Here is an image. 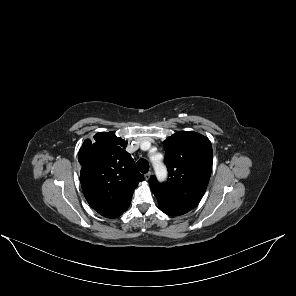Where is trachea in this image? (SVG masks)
I'll list each match as a JSON object with an SVG mask.
<instances>
[{
	"mask_svg": "<svg viewBox=\"0 0 296 296\" xmlns=\"http://www.w3.org/2000/svg\"><path fill=\"white\" fill-rule=\"evenodd\" d=\"M138 170L142 173H147L149 170V163L145 159H139L136 163Z\"/></svg>",
	"mask_w": 296,
	"mask_h": 296,
	"instance_id": "3493384b",
	"label": "trachea"
}]
</instances>
